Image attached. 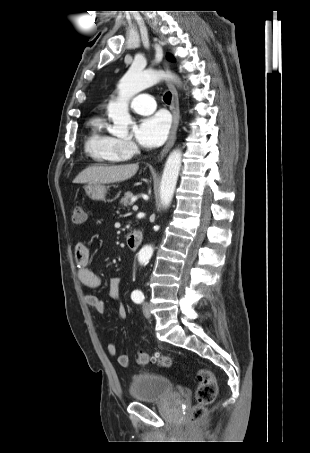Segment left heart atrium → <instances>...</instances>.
Returning <instances> with one entry per match:
<instances>
[{
    "mask_svg": "<svg viewBox=\"0 0 310 453\" xmlns=\"http://www.w3.org/2000/svg\"><path fill=\"white\" fill-rule=\"evenodd\" d=\"M170 119L165 113H157L143 118L135 128V138L146 148L161 145L167 138Z\"/></svg>",
    "mask_w": 310,
    "mask_h": 453,
    "instance_id": "1",
    "label": "left heart atrium"
}]
</instances>
